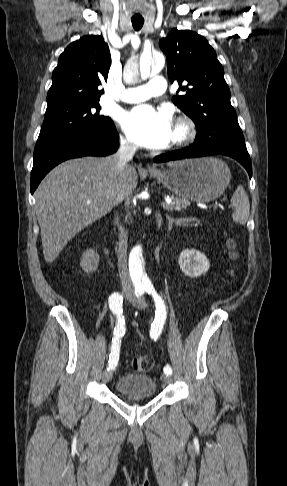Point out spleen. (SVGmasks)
I'll use <instances>...</instances> for the list:
<instances>
[{"label":"spleen","instance_id":"spleen-1","mask_svg":"<svg viewBox=\"0 0 287 486\" xmlns=\"http://www.w3.org/2000/svg\"><path fill=\"white\" fill-rule=\"evenodd\" d=\"M231 203L235 207V211L232 213L233 221L244 225L249 218L250 204L248 195L241 184L238 185L236 191L231 197Z\"/></svg>","mask_w":287,"mask_h":486}]
</instances>
